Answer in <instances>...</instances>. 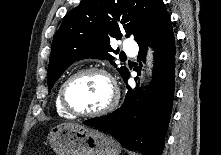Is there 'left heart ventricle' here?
<instances>
[{
	"instance_id": "b2bd125f",
	"label": "left heart ventricle",
	"mask_w": 221,
	"mask_h": 155,
	"mask_svg": "<svg viewBox=\"0 0 221 155\" xmlns=\"http://www.w3.org/2000/svg\"><path fill=\"white\" fill-rule=\"evenodd\" d=\"M111 89L107 80L99 74H85L71 82L67 89V101L78 112H94L110 100Z\"/></svg>"
}]
</instances>
